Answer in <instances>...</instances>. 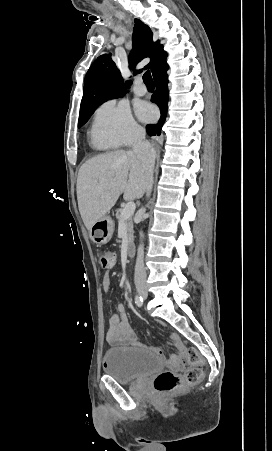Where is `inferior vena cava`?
<instances>
[{"label": "inferior vena cava", "instance_id": "1", "mask_svg": "<svg viewBox=\"0 0 272 451\" xmlns=\"http://www.w3.org/2000/svg\"><path fill=\"white\" fill-rule=\"evenodd\" d=\"M145 140V132H138L136 138L133 140V152L136 154L138 160L142 162L146 174H147V186L146 192L147 196H150L152 192V184H153V170L155 164V152L154 148L148 144V142H144ZM146 269L144 267V249L143 245H139L135 263V271H134V283L136 287H144L146 285Z\"/></svg>", "mask_w": 272, "mask_h": 451}]
</instances>
